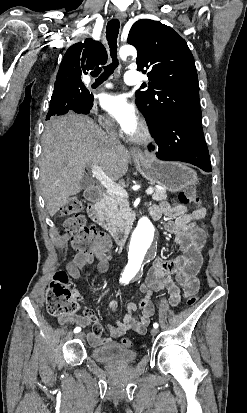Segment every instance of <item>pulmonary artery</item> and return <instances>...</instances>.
Masks as SVG:
<instances>
[{
  "mask_svg": "<svg viewBox=\"0 0 247 413\" xmlns=\"http://www.w3.org/2000/svg\"><path fill=\"white\" fill-rule=\"evenodd\" d=\"M136 70H131V72H126L124 75V80L127 84H135L140 85V82L146 79V76L140 77L136 74ZM83 82L86 87L91 88L95 83L94 79L88 74L84 77ZM113 84L111 82H103L99 84L100 89H110L113 88Z\"/></svg>",
  "mask_w": 247,
  "mask_h": 413,
  "instance_id": "pulmonary-artery-1",
  "label": "pulmonary artery"
}]
</instances>
